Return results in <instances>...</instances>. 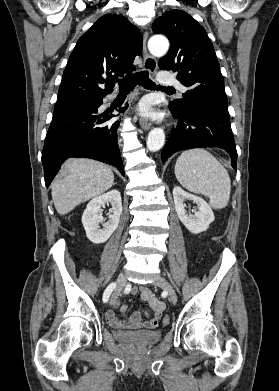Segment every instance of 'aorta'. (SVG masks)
I'll list each match as a JSON object with an SVG mask.
<instances>
[{
    "mask_svg": "<svg viewBox=\"0 0 279 391\" xmlns=\"http://www.w3.org/2000/svg\"><path fill=\"white\" fill-rule=\"evenodd\" d=\"M148 49L155 57L164 56L169 49V41L163 36H153L148 41ZM165 142V133L161 128L152 129L147 138V148L156 152L162 148Z\"/></svg>",
    "mask_w": 279,
    "mask_h": 391,
    "instance_id": "1",
    "label": "aorta"
}]
</instances>
